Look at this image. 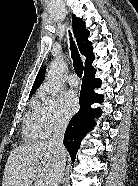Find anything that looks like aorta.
<instances>
[{
  "label": "aorta",
  "instance_id": "1",
  "mask_svg": "<svg viewBox=\"0 0 138 186\" xmlns=\"http://www.w3.org/2000/svg\"><path fill=\"white\" fill-rule=\"evenodd\" d=\"M66 65L62 58L58 57L53 60L47 73V87L52 95H56L64 86L63 74Z\"/></svg>",
  "mask_w": 138,
  "mask_h": 186
}]
</instances>
